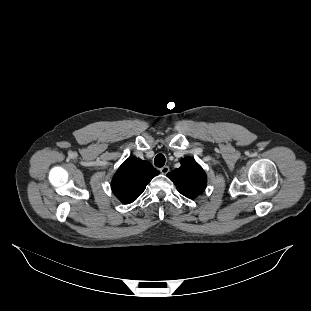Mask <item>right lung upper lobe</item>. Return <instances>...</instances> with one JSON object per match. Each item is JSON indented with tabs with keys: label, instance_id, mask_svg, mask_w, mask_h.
<instances>
[{
	"label": "right lung upper lobe",
	"instance_id": "right-lung-upper-lobe-1",
	"mask_svg": "<svg viewBox=\"0 0 311 311\" xmlns=\"http://www.w3.org/2000/svg\"><path fill=\"white\" fill-rule=\"evenodd\" d=\"M159 173L151 163L129 157L114 175L112 191L123 204H129L138 198L151 179Z\"/></svg>",
	"mask_w": 311,
	"mask_h": 311
}]
</instances>
